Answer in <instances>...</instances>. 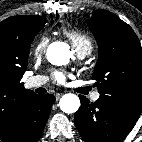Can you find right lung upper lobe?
Returning <instances> with one entry per match:
<instances>
[{
  "label": "right lung upper lobe",
  "mask_w": 142,
  "mask_h": 142,
  "mask_svg": "<svg viewBox=\"0 0 142 142\" xmlns=\"http://www.w3.org/2000/svg\"><path fill=\"white\" fill-rule=\"evenodd\" d=\"M41 16H13L0 23V136L9 133L35 95L21 79L27 67V40Z\"/></svg>",
  "instance_id": "cb5924a9"
}]
</instances>
